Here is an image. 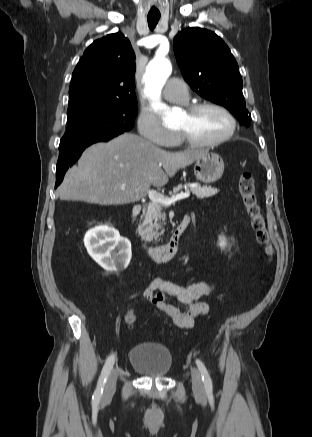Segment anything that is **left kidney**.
Masks as SVG:
<instances>
[{"mask_svg": "<svg viewBox=\"0 0 312 437\" xmlns=\"http://www.w3.org/2000/svg\"><path fill=\"white\" fill-rule=\"evenodd\" d=\"M220 247L223 248L226 245V241L224 238L220 237V243H219Z\"/></svg>", "mask_w": 312, "mask_h": 437, "instance_id": "obj_1", "label": "left kidney"}]
</instances>
